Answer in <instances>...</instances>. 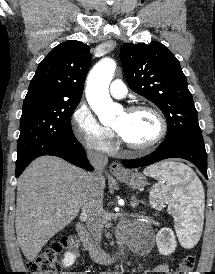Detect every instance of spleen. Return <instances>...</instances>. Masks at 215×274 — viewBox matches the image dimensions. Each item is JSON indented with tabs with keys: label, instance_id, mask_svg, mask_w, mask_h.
Here are the masks:
<instances>
[{
	"label": "spleen",
	"instance_id": "1",
	"mask_svg": "<svg viewBox=\"0 0 215 274\" xmlns=\"http://www.w3.org/2000/svg\"><path fill=\"white\" fill-rule=\"evenodd\" d=\"M158 180L150 192V204L155 209L168 205L174 218L175 229L181 242L195 244L201 233L204 216L205 194L201 181L186 165L165 162L144 170Z\"/></svg>",
	"mask_w": 215,
	"mask_h": 274
}]
</instances>
